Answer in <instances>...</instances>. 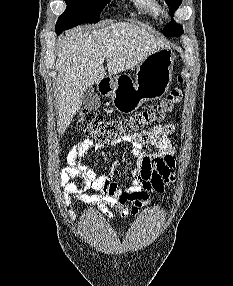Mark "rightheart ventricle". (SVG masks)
<instances>
[{
  "instance_id": "1",
  "label": "right heart ventricle",
  "mask_w": 233,
  "mask_h": 286,
  "mask_svg": "<svg viewBox=\"0 0 233 286\" xmlns=\"http://www.w3.org/2000/svg\"><path fill=\"white\" fill-rule=\"evenodd\" d=\"M134 6L143 14L151 17L158 18L161 12L159 0H131Z\"/></svg>"
}]
</instances>
